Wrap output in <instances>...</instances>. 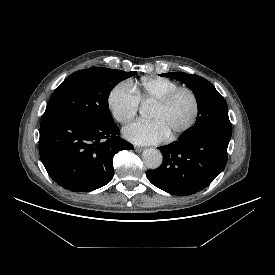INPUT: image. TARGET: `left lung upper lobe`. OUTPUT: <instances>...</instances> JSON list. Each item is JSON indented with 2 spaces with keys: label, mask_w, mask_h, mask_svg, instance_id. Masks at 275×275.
Returning <instances> with one entry per match:
<instances>
[{
  "label": "left lung upper lobe",
  "mask_w": 275,
  "mask_h": 275,
  "mask_svg": "<svg viewBox=\"0 0 275 275\" xmlns=\"http://www.w3.org/2000/svg\"><path fill=\"white\" fill-rule=\"evenodd\" d=\"M161 76L185 83L196 97L198 116L194 127L186 137H231L232 126L228 117L226 101L213 84L203 77L182 72L163 73Z\"/></svg>",
  "instance_id": "obj_1"
}]
</instances>
